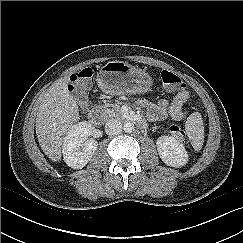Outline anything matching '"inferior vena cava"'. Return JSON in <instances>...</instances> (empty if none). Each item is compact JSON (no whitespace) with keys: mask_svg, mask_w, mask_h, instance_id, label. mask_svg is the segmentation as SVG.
<instances>
[{"mask_svg":"<svg viewBox=\"0 0 243 243\" xmlns=\"http://www.w3.org/2000/svg\"><path fill=\"white\" fill-rule=\"evenodd\" d=\"M105 132L108 135H118L122 132V123L118 119H109L105 124Z\"/></svg>","mask_w":243,"mask_h":243,"instance_id":"602c4592","label":"inferior vena cava"}]
</instances>
